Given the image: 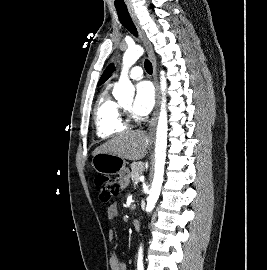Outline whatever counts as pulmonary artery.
<instances>
[{
	"label": "pulmonary artery",
	"mask_w": 267,
	"mask_h": 270,
	"mask_svg": "<svg viewBox=\"0 0 267 270\" xmlns=\"http://www.w3.org/2000/svg\"><path fill=\"white\" fill-rule=\"evenodd\" d=\"M129 76L132 78V79H135V80H138V79H141L142 76H143V70L140 66H134L130 72H129Z\"/></svg>",
	"instance_id": "1"
}]
</instances>
